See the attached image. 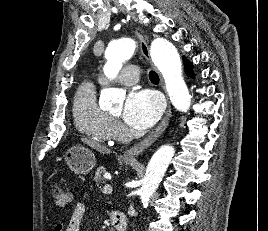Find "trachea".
I'll return each mask as SVG.
<instances>
[{"label": "trachea", "mask_w": 268, "mask_h": 231, "mask_svg": "<svg viewBox=\"0 0 268 231\" xmlns=\"http://www.w3.org/2000/svg\"><path fill=\"white\" fill-rule=\"evenodd\" d=\"M149 79L151 81H155V82L159 81L158 74L155 71H150V73H149Z\"/></svg>", "instance_id": "trachea-1"}]
</instances>
